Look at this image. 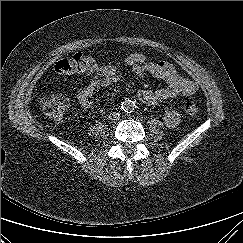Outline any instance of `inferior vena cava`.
Wrapping results in <instances>:
<instances>
[{"instance_id": "obj_1", "label": "inferior vena cava", "mask_w": 243, "mask_h": 243, "mask_svg": "<svg viewBox=\"0 0 243 243\" xmlns=\"http://www.w3.org/2000/svg\"><path fill=\"white\" fill-rule=\"evenodd\" d=\"M110 120H118L120 118V113L118 112H112L110 113L109 117Z\"/></svg>"}]
</instances>
